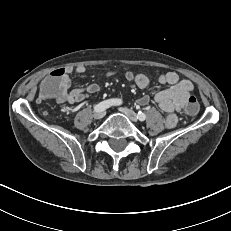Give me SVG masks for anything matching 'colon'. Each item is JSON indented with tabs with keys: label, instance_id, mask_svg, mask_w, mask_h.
Instances as JSON below:
<instances>
[{
	"label": "colon",
	"instance_id": "1",
	"mask_svg": "<svg viewBox=\"0 0 231 231\" xmlns=\"http://www.w3.org/2000/svg\"><path fill=\"white\" fill-rule=\"evenodd\" d=\"M64 77V72L61 69H56L41 82V88H39V101L47 102L48 99H57L61 96V91L58 87L61 80ZM199 101L197 96L190 95L185 99L183 106V114L186 117H195L198 114Z\"/></svg>",
	"mask_w": 231,
	"mask_h": 231
}]
</instances>
